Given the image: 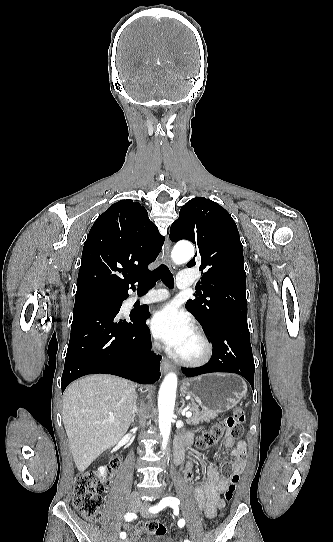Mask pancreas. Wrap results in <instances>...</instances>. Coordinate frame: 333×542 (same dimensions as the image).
<instances>
[{"label": "pancreas", "instance_id": "1", "mask_svg": "<svg viewBox=\"0 0 333 542\" xmlns=\"http://www.w3.org/2000/svg\"><path fill=\"white\" fill-rule=\"evenodd\" d=\"M188 406H190V412H193V416L192 418H187L185 422L186 424H190V426H197V424H201L204 420H215V418H218L219 412H213V410H199V406H196L194 402H191Z\"/></svg>", "mask_w": 333, "mask_h": 542}]
</instances>
